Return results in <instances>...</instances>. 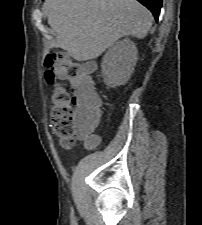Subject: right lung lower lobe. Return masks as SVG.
Masks as SVG:
<instances>
[{
  "label": "right lung lower lobe",
  "mask_w": 202,
  "mask_h": 225,
  "mask_svg": "<svg viewBox=\"0 0 202 225\" xmlns=\"http://www.w3.org/2000/svg\"><path fill=\"white\" fill-rule=\"evenodd\" d=\"M144 6H146L154 15L155 19L158 20L160 8L162 6V0H138Z\"/></svg>",
  "instance_id": "obj_1"
}]
</instances>
